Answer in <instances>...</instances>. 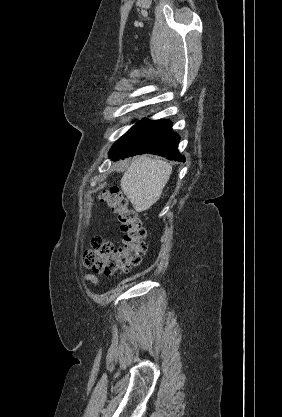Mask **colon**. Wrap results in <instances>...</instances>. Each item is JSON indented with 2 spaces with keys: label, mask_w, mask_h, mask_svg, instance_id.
Wrapping results in <instances>:
<instances>
[{
  "label": "colon",
  "mask_w": 282,
  "mask_h": 417,
  "mask_svg": "<svg viewBox=\"0 0 282 417\" xmlns=\"http://www.w3.org/2000/svg\"><path fill=\"white\" fill-rule=\"evenodd\" d=\"M100 197L114 214L116 225L123 235L122 247L116 250L112 242L94 237L92 248L83 253V264L88 269L107 275L126 273L140 263L145 252L144 227L119 187L101 189Z\"/></svg>",
  "instance_id": "obj_1"
}]
</instances>
